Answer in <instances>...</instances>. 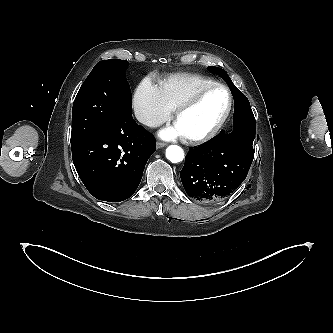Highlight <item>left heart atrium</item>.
<instances>
[{
  "label": "left heart atrium",
  "instance_id": "39dd6f15",
  "mask_svg": "<svg viewBox=\"0 0 333 333\" xmlns=\"http://www.w3.org/2000/svg\"><path fill=\"white\" fill-rule=\"evenodd\" d=\"M159 135H160V137H162L163 139H166V140H171V139H174V138H177V137H182V136H184V134H183L182 131L178 128L177 125L162 130V131L159 133Z\"/></svg>",
  "mask_w": 333,
  "mask_h": 333
}]
</instances>
